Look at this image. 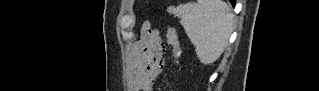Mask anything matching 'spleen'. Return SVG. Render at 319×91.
Here are the masks:
<instances>
[{
  "label": "spleen",
  "instance_id": "obj_1",
  "mask_svg": "<svg viewBox=\"0 0 319 91\" xmlns=\"http://www.w3.org/2000/svg\"><path fill=\"white\" fill-rule=\"evenodd\" d=\"M167 11L180 19L201 63L213 64L224 52L233 31L234 15L221 0H198Z\"/></svg>",
  "mask_w": 319,
  "mask_h": 91
}]
</instances>
